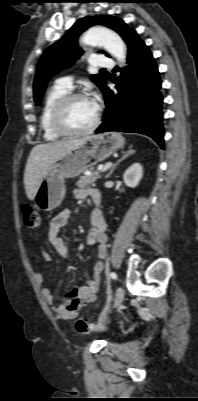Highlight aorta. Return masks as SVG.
I'll return each mask as SVG.
<instances>
[{"label":"aorta","mask_w":198,"mask_h":401,"mask_svg":"<svg viewBox=\"0 0 198 401\" xmlns=\"http://www.w3.org/2000/svg\"><path fill=\"white\" fill-rule=\"evenodd\" d=\"M85 45L103 46L112 56L121 62L126 60V46L121 37L104 27H92L82 37Z\"/></svg>","instance_id":"aorta-1"}]
</instances>
